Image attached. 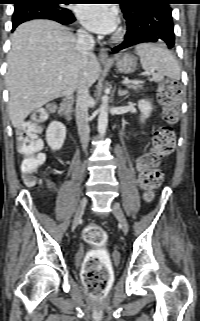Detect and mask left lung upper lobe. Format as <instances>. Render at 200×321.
Here are the masks:
<instances>
[{"mask_svg":"<svg viewBox=\"0 0 200 321\" xmlns=\"http://www.w3.org/2000/svg\"><path fill=\"white\" fill-rule=\"evenodd\" d=\"M146 0H120L122 11L127 10L134 6H140L142 2ZM167 2L168 4H172L174 0H161Z\"/></svg>","mask_w":200,"mask_h":321,"instance_id":"1","label":"left lung upper lobe"}]
</instances>
